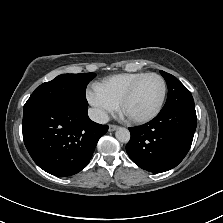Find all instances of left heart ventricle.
Masks as SVG:
<instances>
[{
  "mask_svg": "<svg viewBox=\"0 0 223 223\" xmlns=\"http://www.w3.org/2000/svg\"><path fill=\"white\" fill-rule=\"evenodd\" d=\"M162 86L157 77H147L129 101L121 108L123 114L142 117L150 114L157 106Z\"/></svg>",
  "mask_w": 223,
  "mask_h": 223,
  "instance_id": "obj_1",
  "label": "left heart ventricle"
}]
</instances>
